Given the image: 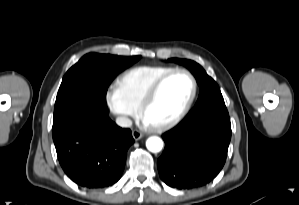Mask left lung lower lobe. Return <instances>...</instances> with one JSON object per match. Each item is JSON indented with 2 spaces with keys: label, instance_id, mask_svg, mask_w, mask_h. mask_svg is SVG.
<instances>
[{
  "label": "left lung lower lobe",
  "instance_id": "1",
  "mask_svg": "<svg viewBox=\"0 0 299 205\" xmlns=\"http://www.w3.org/2000/svg\"><path fill=\"white\" fill-rule=\"evenodd\" d=\"M165 150L157 161L162 181L177 189L204 186L225 164L231 139V123L226 107L187 115L163 135Z\"/></svg>",
  "mask_w": 299,
  "mask_h": 205
}]
</instances>
